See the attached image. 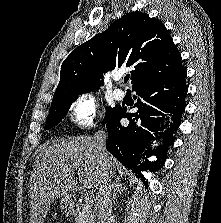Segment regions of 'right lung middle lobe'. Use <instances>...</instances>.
Instances as JSON below:
<instances>
[{"label":"right lung middle lobe","mask_w":221,"mask_h":223,"mask_svg":"<svg viewBox=\"0 0 221 223\" xmlns=\"http://www.w3.org/2000/svg\"><path fill=\"white\" fill-rule=\"evenodd\" d=\"M78 98V95L70 96L60 100L53 101L48 114L45 130L56 126L67 114L71 104ZM118 107L108 108L102 123L104 124L116 111Z\"/></svg>","instance_id":"right-lung-middle-lobe-1"}]
</instances>
